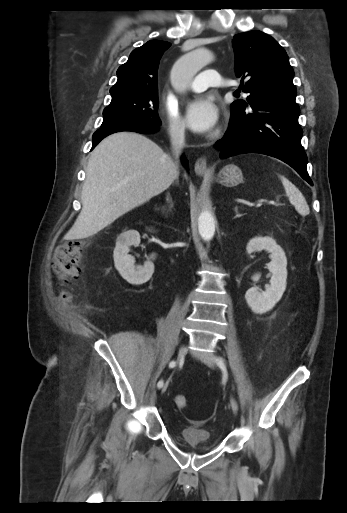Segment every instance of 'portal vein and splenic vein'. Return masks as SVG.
<instances>
[{
  "label": "portal vein and splenic vein",
  "instance_id": "obj_1",
  "mask_svg": "<svg viewBox=\"0 0 347 513\" xmlns=\"http://www.w3.org/2000/svg\"><path fill=\"white\" fill-rule=\"evenodd\" d=\"M267 204H270V205H275L276 203L274 201H268ZM261 204H257L256 207H260Z\"/></svg>",
  "mask_w": 347,
  "mask_h": 513
}]
</instances>
